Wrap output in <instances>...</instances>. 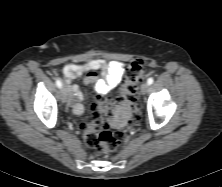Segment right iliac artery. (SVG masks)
Instances as JSON below:
<instances>
[{
    "label": "right iliac artery",
    "mask_w": 222,
    "mask_h": 187,
    "mask_svg": "<svg viewBox=\"0 0 222 187\" xmlns=\"http://www.w3.org/2000/svg\"><path fill=\"white\" fill-rule=\"evenodd\" d=\"M56 85H57L58 88H61V87H62V82H61V80L57 79V80H56Z\"/></svg>",
    "instance_id": "82829eb1"
}]
</instances>
